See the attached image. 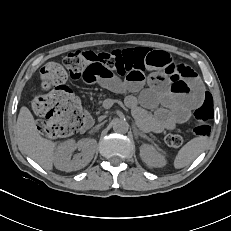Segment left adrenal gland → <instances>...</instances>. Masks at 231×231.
Returning a JSON list of instances; mask_svg holds the SVG:
<instances>
[{"mask_svg": "<svg viewBox=\"0 0 231 231\" xmlns=\"http://www.w3.org/2000/svg\"><path fill=\"white\" fill-rule=\"evenodd\" d=\"M134 135L136 139L138 138V136H140L142 138H146L149 140L148 136L142 133L141 131H139L136 127H134Z\"/></svg>", "mask_w": 231, "mask_h": 231, "instance_id": "a2214340", "label": "left adrenal gland"}]
</instances>
